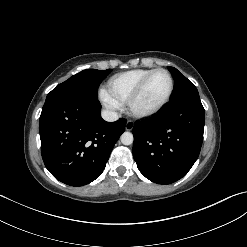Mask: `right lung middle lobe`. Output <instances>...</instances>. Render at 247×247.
<instances>
[{"instance_id": "1", "label": "right lung middle lobe", "mask_w": 247, "mask_h": 247, "mask_svg": "<svg viewBox=\"0 0 247 247\" xmlns=\"http://www.w3.org/2000/svg\"><path fill=\"white\" fill-rule=\"evenodd\" d=\"M111 71V69L104 71L96 69L83 70L56 86L47 95L46 99L57 96H77L88 99H97L99 84Z\"/></svg>"}]
</instances>
